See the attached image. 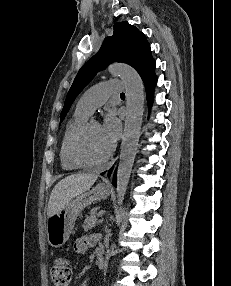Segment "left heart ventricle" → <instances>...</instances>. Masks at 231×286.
Instances as JSON below:
<instances>
[{
    "label": "left heart ventricle",
    "instance_id": "left-heart-ventricle-1",
    "mask_svg": "<svg viewBox=\"0 0 231 286\" xmlns=\"http://www.w3.org/2000/svg\"><path fill=\"white\" fill-rule=\"evenodd\" d=\"M112 143L106 138L100 125H91L81 142L82 154L90 160L103 158L110 150Z\"/></svg>",
    "mask_w": 231,
    "mask_h": 286
}]
</instances>
